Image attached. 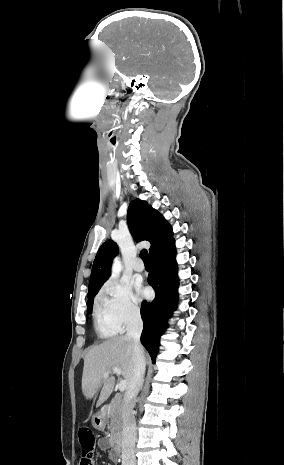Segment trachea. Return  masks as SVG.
<instances>
[{"mask_svg":"<svg viewBox=\"0 0 284 465\" xmlns=\"http://www.w3.org/2000/svg\"><path fill=\"white\" fill-rule=\"evenodd\" d=\"M140 257L142 258V260L144 261V264L145 265H150V262H149V256H148V252L147 250H142L140 252Z\"/></svg>","mask_w":284,"mask_h":465,"instance_id":"3493384b","label":"trachea"}]
</instances>
